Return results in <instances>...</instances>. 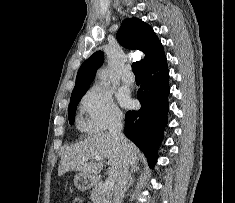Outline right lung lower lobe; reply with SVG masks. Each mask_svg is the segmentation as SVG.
<instances>
[{
  "instance_id": "98d812e1",
  "label": "right lung lower lobe",
  "mask_w": 235,
  "mask_h": 203,
  "mask_svg": "<svg viewBox=\"0 0 235 203\" xmlns=\"http://www.w3.org/2000/svg\"><path fill=\"white\" fill-rule=\"evenodd\" d=\"M138 90L141 108L128 111L125 116V135L144 152L150 167H154L159 144L167 124L169 71L164 55L141 71Z\"/></svg>"
}]
</instances>
